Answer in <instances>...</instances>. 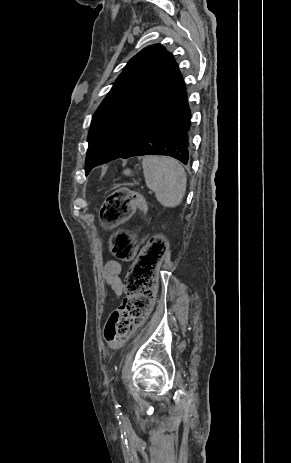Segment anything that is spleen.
I'll use <instances>...</instances> for the list:
<instances>
[{"instance_id": "spleen-1", "label": "spleen", "mask_w": 291, "mask_h": 463, "mask_svg": "<svg viewBox=\"0 0 291 463\" xmlns=\"http://www.w3.org/2000/svg\"><path fill=\"white\" fill-rule=\"evenodd\" d=\"M146 185L155 192L164 207L178 206L186 191V173L175 159L165 156H146L142 161Z\"/></svg>"}]
</instances>
